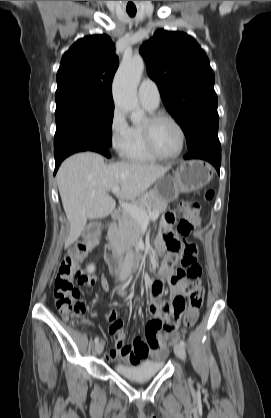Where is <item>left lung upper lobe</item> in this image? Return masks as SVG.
Returning a JSON list of instances; mask_svg holds the SVG:
<instances>
[{"label":"left lung upper lobe","instance_id":"left-lung-upper-lobe-1","mask_svg":"<svg viewBox=\"0 0 271 418\" xmlns=\"http://www.w3.org/2000/svg\"><path fill=\"white\" fill-rule=\"evenodd\" d=\"M162 101L184 131L187 147L218 138L215 77L206 53L183 32L163 29L140 48Z\"/></svg>","mask_w":271,"mask_h":418}]
</instances>
